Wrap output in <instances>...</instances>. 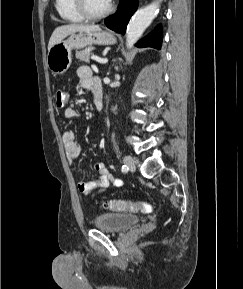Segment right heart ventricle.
I'll return each mask as SVG.
<instances>
[{
  "label": "right heart ventricle",
  "mask_w": 243,
  "mask_h": 289,
  "mask_svg": "<svg viewBox=\"0 0 243 289\" xmlns=\"http://www.w3.org/2000/svg\"><path fill=\"white\" fill-rule=\"evenodd\" d=\"M55 7L59 16L65 21L76 23L84 20L76 10L74 0H56Z\"/></svg>",
  "instance_id": "obj_1"
}]
</instances>
